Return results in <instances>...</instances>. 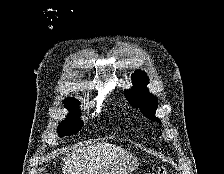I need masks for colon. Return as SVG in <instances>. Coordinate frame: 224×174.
<instances>
[{
    "mask_svg": "<svg viewBox=\"0 0 224 174\" xmlns=\"http://www.w3.org/2000/svg\"><path fill=\"white\" fill-rule=\"evenodd\" d=\"M157 174H167L166 170L161 168L159 169V171L157 172Z\"/></svg>",
    "mask_w": 224,
    "mask_h": 174,
    "instance_id": "colon-1",
    "label": "colon"
}]
</instances>
